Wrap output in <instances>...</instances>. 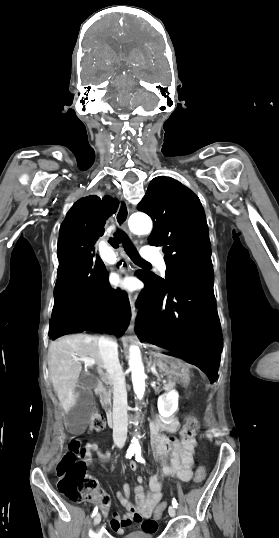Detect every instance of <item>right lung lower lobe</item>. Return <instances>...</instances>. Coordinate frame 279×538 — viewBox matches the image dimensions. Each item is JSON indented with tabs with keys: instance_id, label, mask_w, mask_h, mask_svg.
<instances>
[{
	"instance_id": "98d812e1",
	"label": "right lung lower lobe",
	"mask_w": 279,
	"mask_h": 538,
	"mask_svg": "<svg viewBox=\"0 0 279 538\" xmlns=\"http://www.w3.org/2000/svg\"><path fill=\"white\" fill-rule=\"evenodd\" d=\"M119 202L90 195L78 200L61 224L59 268L49 337L84 330L122 335L130 322L126 293L113 290L103 262L93 259L94 244Z\"/></svg>"
}]
</instances>
